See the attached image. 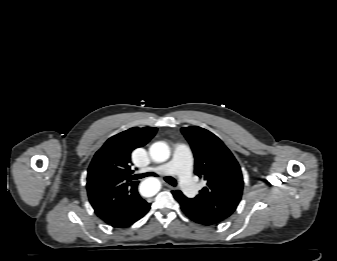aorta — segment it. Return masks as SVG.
<instances>
[{
    "label": "aorta",
    "instance_id": "1",
    "mask_svg": "<svg viewBox=\"0 0 337 261\" xmlns=\"http://www.w3.org/2000/svg\"><path fill=\"white\" fill-rule=\"evenodd\" d=\"M149 154L153 161L164 162L170 156V148L164 142H156L150 146ZM139 189L143 196H153L160 190V182L156 178H147L140 184Z\"/></svg>",
    "mask_w": 337,
    "mask_h": 261
}]
</instances>
